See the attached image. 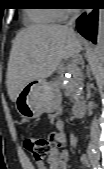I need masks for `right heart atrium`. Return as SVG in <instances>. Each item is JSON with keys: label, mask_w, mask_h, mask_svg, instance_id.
<instances>
[{"label": "right heart atrium", "mask_w": 104, "mask_h": 169, "mask_svg": "<svg viewBox=\"0 0 104 169\" xmlns=\"http://www.w3.org/2000/svg\"><path fill=\"white\" fill-rule=\"evenodd\" d=\"M57 10V18L58 20H66L71 14L72 9H56Z\"/></svg>", "instance_id": "d8ad5b80"}]
</instances>
